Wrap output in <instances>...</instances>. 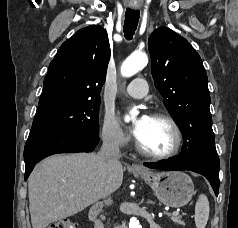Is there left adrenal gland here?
Instances as JSON below:
<instances>
[{
  "label": "left adrenal gland",
  "instance_id": "left-adrenal-gland-1",
  "mask_svg": "<svg viewBox=\"0 0 238 228\" xmlns=\"http://www.w3.org/2000/svg\"><path fill=\"white\" fill-rule=\"evenodd\" d=\"M148 203H153L152 201H149Z\"/></svg>",
  "mask_w": 238,
  "mask_h": 228
}]
</instances>
